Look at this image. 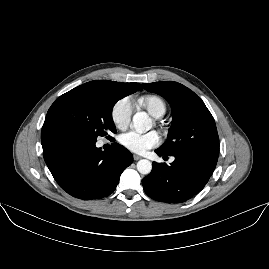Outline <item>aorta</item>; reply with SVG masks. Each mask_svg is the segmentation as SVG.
<instances>
[{
    "mask_svg": "<svg viewBox=\"0 0 269 269\" xmlns=\"http://www.w3.org/2000/svg\"><path fill=\"white\" fill-rule=\"evenodd\" d=\"M133 128L137 133H143L148 131L153 126V120L150 116L142 111L134 114L133 119ZM137 170L140 174L147 175L152 170V163L147 159H141L137 162Z\"/></svg>",
    "mask_w": 269,
    "mask_h": 269,
    "instance_id": "obj_1",
    "label": "aorta"
}]
</instances>
